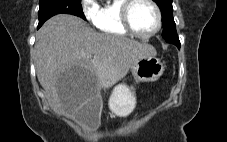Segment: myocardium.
Instances as JSON below:
<instances>
[{"label": "myocardium", "mask_w": 227, "mask_h": 142, "mask_svg": "<svg viewBox=\"0 0 227 142\" xmlns=\"http://www.w3.org/2000/svg\"><path fill=\"white\" fill-rule=\"evenodd\" d=\"M139 0H124L121 9H120V18H121V23L124 27V29L130 33L133 36H136L141 39H149L153 36H155L162 28V23H163V17H162V12L159 7V5L154 1V0H144L148 2L155 10L156 15H157V26L156 28L148 33V34H142L139 33L132 25L131 22V11L135 3H137Z\"/></svg>", "instance_id": "obj_1"}]
</instances>
